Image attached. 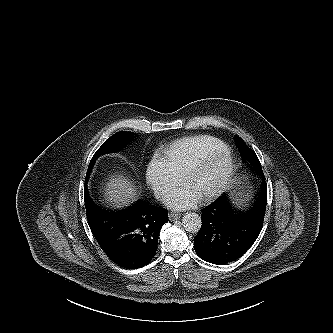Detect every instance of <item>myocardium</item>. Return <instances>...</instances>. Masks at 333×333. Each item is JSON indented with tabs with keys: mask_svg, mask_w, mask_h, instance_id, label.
Returning a JSON list of instances; mask_svg holds the SVG:
<instances>
[{
	"mask_svg": "<svg viewBox=\"0 0 333 333\" xmlns=\"http://www.w3.org/2000/svg\"><path fill=\"white\" fill-rule=\"evenodd\" d=\"M221 157L225 160V170L223 176L213 189L200 196V199L203 201H209L220 196L230 185L236 170V161L232 149L225 145L204 154L198 158L182 176L184 184L187 185L188 182L201 170H203L217 158Z\"/></svg>",
	"mask_w": 333,
	"mask_h": 333,
	"instance_id": "myocardium-1",
	"label": "myocardium"
}]
</instances>
